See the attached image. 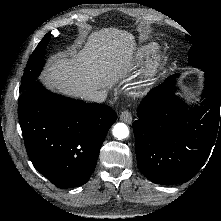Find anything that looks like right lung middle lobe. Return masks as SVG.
I'll list each match as a JSON object with an SVG mask.
<instances>
[{"label": "right lung middle lobe", "instance_id": "right-lung-middle-lobe-1", "mask_svg": "<svg viewBox=\"0 0 221 221\" xmlns=\"http://www.w3.org/2000/svg\"><path fill=\"white\" fill-rule=\"evenodd\" d=\"M51 37V33L48 32L43 39L39 42L36 49L30 56L24 75L21 79V87H20V93H22L25 89H27L30 84L35 82L37 76L40 74L41 70L44 66V55H45V48L48 44Z\"/></svg>", "mask_w": 221, "mask_h": 221}]
</instances>
